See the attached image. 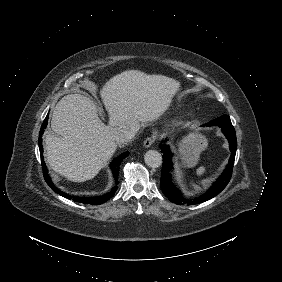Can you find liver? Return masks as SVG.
Returning <instances> with one entry per match:
<instances>
[{"label": "liver", "mask_w": 282, "mask_h": 282, "mask_svg": "<svg viewBox=\"0 0 282 282\" xmlns=\"http://www.w3.org/2000/svg\"><path fill=\"white\" fill-rule=\"evenodd\" d=\"M182 89L180 80L139 69H126L108 78L99 97L108 116L104 124L91 102L81 94H67L56 104L45 135L46 162L67 181L91 180L117 150L114 131L150 125L169 111Z\"/></svg>", "instance_id": "1"}]
</instances>
